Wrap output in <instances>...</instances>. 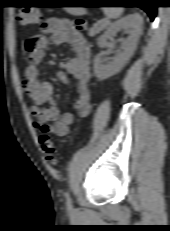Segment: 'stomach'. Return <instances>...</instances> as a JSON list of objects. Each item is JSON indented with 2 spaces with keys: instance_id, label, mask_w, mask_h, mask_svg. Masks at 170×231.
<instances>
[{
  "instance_id": "1",
  "label": "stomach",
  "mask_w": 170,
  "mask_h": 231,
  "mask_svg": "<svg viewBox=\"0 0 170 231\" xmlns=\"http://www.w3.org/2000/svg\"><path fill=\"white\" fill-rule=\"evenodd\" d=\"M64 9L73 14H82L84 12V8L82 7H65Z\"/></svg>"
}]
</instances>
